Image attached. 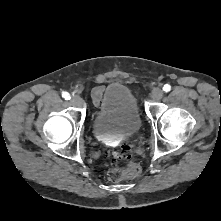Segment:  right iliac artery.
Returning <instances> with one entry per match:
<instances>
[{"label":"right iliac artery","mask_w":221,"mask_h":221,"mask_svg":"<svg viewBox=\"0 0 221 221\" xmlns=\"http://www.w3.org/2000/svg\"><path fill=\"white\" fill-rule=\"evenodd\" d=\"M62 97L66 100H69L70 99V94L68 92H63L62 93Z\"/></svg>","instance_id":"obj_1"}]
</instances>
